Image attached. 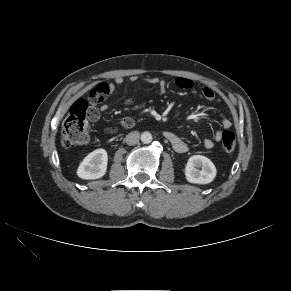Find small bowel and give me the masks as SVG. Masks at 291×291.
Here are the masks:
<instances>
[{
    "label": "small bowel",
    "mask_w": 291,
    "mask_h": 291,
    "mask_svg": "<svg viewBox=\"0 0 291 291\" xmlns=\"http://www.w3.org/2000/svg\"><path fill=\"white\" fill-rule=\"evenodd\" d=\"M139 77L138 76H132L130 80L132 82L138 81ZM146 81L151 84H158L160 88V92L164 93L166 89V84L164 81L160 80L159 78L156 77H150L147 78ZM124 82V78L122 76H116L113 80V83H103L98 85L97 87H104L105 88V93L102 101L92 107V120L96 121L99 118V112H104L108 109V105L104 102V100L110 96L113 91L115 90L116 85H121ZM175 84L177 87L183 90H190L193 88L194 83L191 79L184 78V77H179L175 80ZM201 95L202 97L207 100V101H212L215 98V93L210 87H203L201 89ZM129 104L131 103V100L127 101ZM223 127L225 129H229L231 127V122L229 120H224L223 121ZM166 137L172 144L174 150L178 153H184L187 151L188 146L186 142L179 137L177 134H175L172 131H167L166 132ZM222 136V132L218 131L215 134L214 139H205L204 140V147L207 149H211L214 147L215 141H220Z\"/></svg>",
    "instance_id": "1"
}]
</instances>
